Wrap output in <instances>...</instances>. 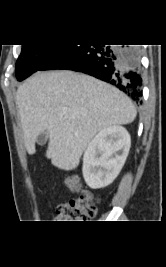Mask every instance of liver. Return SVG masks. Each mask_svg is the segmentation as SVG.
<instances>
[{
	"label": "liver",
	"mask_w": 166,
	"mask_h": 267,
	"mask_svg": "<svg viewBox=\"0 0 166 267\" xmlns=\"http://www.w3.org/2000/svg\"><path fill=\"white\" fill-rule=\"evenodd\" d=\"M16 102L28 154L38 135L49 137L46 157L62 170L75 169L101 130L136 118L131 100L115 87L71 71L38 72L17 90Z\"/></svg>",
	"instance_id": "6515ba94"
}]
</instances>
